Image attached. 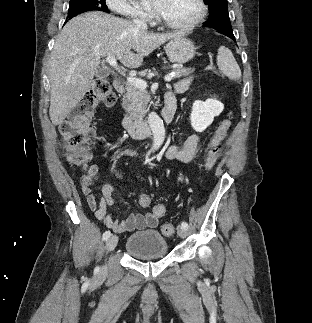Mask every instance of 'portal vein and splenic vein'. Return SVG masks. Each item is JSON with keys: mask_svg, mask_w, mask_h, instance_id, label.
Here are the masks:
<instances>
[{"mask_svg": "<svg viewBox=\"0 0 312 323\" xmlns=\"http://www.w3.org/2000/svg\"><path fill=\"white\" fill-rule=\"evenodd\" d=\"M107 62H109L110 66H113V68H116L118 72H120V68H118V64L115 60V58H107ZM174 74H170V76H165V82H171ZM128 82L132 84V86H135V88H140V90H145L147 88V82H143V80H139V78H127Z\"/></svg>", "mask_w": 312, "mask_h": 323, "instance_id": "1", "label": "portal vein and splenic vein"}]
</instances>
